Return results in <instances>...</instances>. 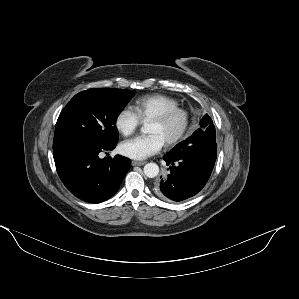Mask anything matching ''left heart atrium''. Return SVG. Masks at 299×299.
Listing matches in <instances>:
<instances>
[{"instance_id":"1","label":"left heart atrium","mask_w":299,"mask_h":299,"mask_svg":"<svg viewBox=\"0 0 299 299\" xmlns=\"http://www.w3.org/2000/svg\"><path fill=\"white\" fill-rule=\"evenodd\" d=\"M164 142V139L157 133L136 136L123 141L119 146V151L128 158L143 160L158 153Z\"/></svg>"}]
</instances>
